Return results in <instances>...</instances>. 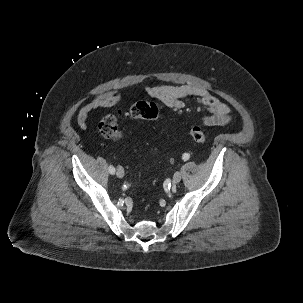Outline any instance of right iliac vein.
I'll return each instance as SVG.
<instances>
[{
	"label": "right iliac vein",
	"mask_w": 303,
	"mask_h": 303,
	"mask_svg": "<svg viewBox=\"0 0 303 303\" xmlns=\"http://www.w3.org/2000/svg\"><path fill=\"white\" fill-rule=\"evenodd\" d=\"M116 175L119 178H123L124 177V169L121 166L117 167Z\"/></svg>",
	"instance_id": "1"
}]
</instances>
